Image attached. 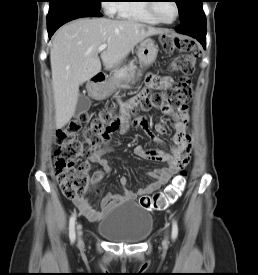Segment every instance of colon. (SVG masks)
<instances>
[{"instance_id":"5ec220e1","label":"colon","mask_w":258,"mask_h":275,"mask_svg":"<svg viewBox=\"0 0 258 275\" xmlns=\"http://www.w3.org/2000/svg\"><path fill=\"white\" fill-rule=\"evenodd\" d=\"M161 45L168 53L180 52L171 62L170 69L185 77L180 79L173 89L157 90L150 96L142 97L138 103L143 110L158 108L169 113L191 98L193 86L187 76L194 72L196 51L192 39L172 34L162 35ZM122 125L123 121L119 116L108 110H101L92 118L87 112H80L57 131L54 167L57 181L65 197L73 200L84 199L91 181L88 174L91 167L88 162H81V158L99 148L102 142L118 131ZM187 176V171L181 170L162 191L152 196H142L139 199L140 206L145 210L166 209L184 191Z\"/></svg>"}]
</instances>
